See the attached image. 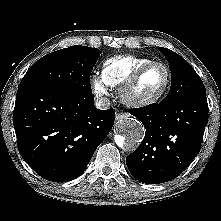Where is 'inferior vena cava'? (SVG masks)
<instances>
[{"mask_svg":"<svg viewBox=\"0 0 221 221\" xmlns=\"http://www.w3.org/2000/svg\"><path fill=\"white\" fill-rule=\"evenodd\" d=\"M95 106L98 109H108L110 106V100L106 97L97 98L95 101Z\"/></svg>","mask_w":221,"mask_h":221,"instance_id":"obj_1","label":"inferior vena cava"}]
</instances>
